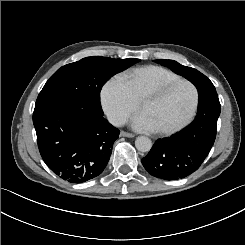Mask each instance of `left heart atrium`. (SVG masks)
I'll list each match as a JSON object with an SVG mask.
<instances>
[{
  "mask_svg": "<svg viewBox=\"0 0 245 245\" xmlns=\"http://www.w3.org/2000/svg\"><path fill=\"white\" fill-rule=\"evenodd\" d=\"M133 127L138 131H153L156 128L149 122L144 113L139 112L133 119Z\"/></svg>",
  "mask_w": 245,
  "mask_h": 245,
  "instance_id": "left-heart-atrium-1",
  "label": "left heart atrium"
}]
</instances>
